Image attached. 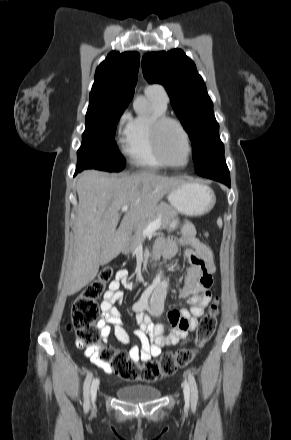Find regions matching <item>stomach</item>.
I'll return each instance as SVG.
<instances>
[{
  "instance_id": "obj_1",
  "label": "stomach",
  "mask_w": 291,
  "mask_h": 440,
  "mask_svg": "<svg viewBox=\"0 0 291 440\" xmlns=\"http://www.w3.org/2000/svg\"><path fill=\"white\" fill-rule=\"evenodd\" d=\"M167 198L176 211L188 216L206 214L216 203L214 191L209 186L193 181H183L168 192ZM175 224L176 221H173L170 227Z\"/></svg>"
}]
</instances>
